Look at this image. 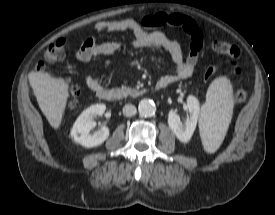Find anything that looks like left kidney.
<instances>
[{
	"label": "left kidney",
	"instance_id": "obj_1",
	"mask_svg": "<svg viewBox=\"0 0 275 215\" xmlns=\"http://www.w3.org/2000/svg\"><path fill=\"white\" fill-rule=\"evenodd\" d=\"M187 107L190 117L187 119L185 124H182L180 116L176 114L174 110L171 109L168 113L169 127L176 137L184 143L191 139L197 125L200 112V104L198 99L192 95L188 96Z\"/></svg>",
	"mask_w": 275,
	"mask_h": 215
}]
</instances>
